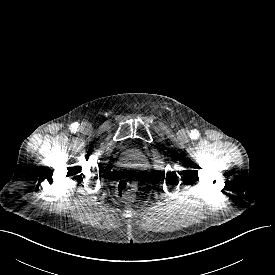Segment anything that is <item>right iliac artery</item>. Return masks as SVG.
Masks as SVG:
<instances>
[{
  "label": "right iliac artery",
  "mask_w": 275,
  "mask_h": 275,
  "mask_svg": "<svg viewBox=\"0 0 275 275\" xmlns=\"http://www.w3.org/2000/svg\"><path fill=\"white\" fill-rule=\"evenodd\" d=\"M78 127H79V124L78 123H73L72 125H71V131L72 132H76L77 130H78Z\"/></svg>",
  "instance_id": "obj_1"
}]
</instances>
